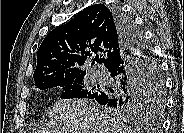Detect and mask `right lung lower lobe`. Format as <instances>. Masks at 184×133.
Listing matches in <instances>:
<instances>
[{"label": "right lung lower lobe", "mask_w": 184, "mask_h": 133, "mask_svg": "<svg viewBox=\"0 0 184 133\" xmlns=\"http://www.w3.org/2000/svg\"><path fill=\"white\" fill-rule=\"evenodd\" d=\"M113 12L122 37V48L106 67L116 83V88L110 91L100 90L86 97L104 106H109L118 97L138 93L145 80L148 64L143 40L137 37L133 21L117 9Z\"/></svg>", "instance_id": "right-lung-lower-lobe-1"}]
</instances>
